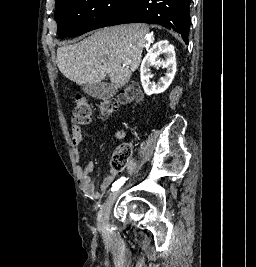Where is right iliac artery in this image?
<instances>
[{
	"instance_id": "1",
	"label": "right iliac artery",
	"mask_w": 256,
	"mask_h": 267,
	"mask_svg": "<svg viewBox=\"0 0 256 267\" xmlns=\"http://www.w3.org/2000/svg\"><path fill=\"white\" fill-rule=\"evenodd\" d=\"M127 179L125 177H121L117 181H115L112 185L111 191L118 190L126 181Z\"/></svg>"
}]
</instances>
